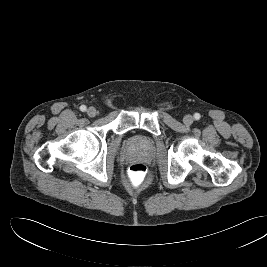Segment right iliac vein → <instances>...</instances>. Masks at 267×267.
<instances>
[{"mask_svg":"<svg viewBox=\"0 0 267 267\" xmlns=\"http://www.w3.org/2000/svg\"><path fill=\"white\" fill-rule=\"evenodd\" d=\"M96 114H97V110H96L94 107H89V108L87 109V115H88L89 117H95Z\"/></svg>","mask_w":267,"mask_h":267,"instance_id":"1","label":"right iliac vein"}]
</instances>
